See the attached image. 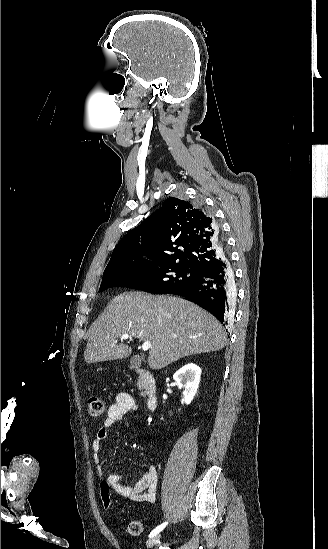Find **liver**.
I'll return each mask as SVG.
<instances>
[{
    "instance_id": "6515ba94",
    "label": "liver",
    "mask_w": 328,
    "mask_h": 549,
    "mask_svg": "<svg viewBox=\"0 0 328 549\" xmlns=\"http://www.w3.org/2000/svg\"><path fill=\"white\" fill-rule=\"evenodd\" d=\"M121 335L150 341V369H163L183 357L220 351L226 345L222 325L205 309L180 297L137 291L114 297L94 321L84 351L86 363L130 357L131 347L118 343Z\"/></svg>"
}]
</instances>
